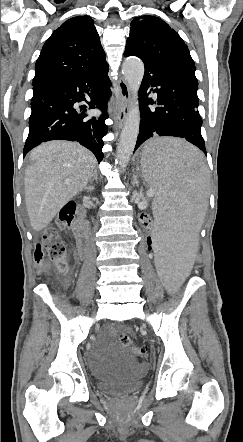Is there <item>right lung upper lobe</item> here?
<instances>
[{
  "mask_svg": "<svg viewBox=\"0 0 243 442\" xmlns=\"http://www.w3.org/2000/svg\"><path fill=\"white\" fill-rule=\"evenodd\" d=\"M107 65L92 18L77 16L65 21L48 38L36 61L33 82L88 73Z\"/></svg>",
  "mask_w": 243,
  "mask_h": 442,
  "instance_id": "right-lung-upper-lobe-1",
  "label": "right lung upper lobe"
}]
</instances>
